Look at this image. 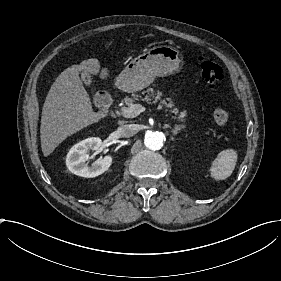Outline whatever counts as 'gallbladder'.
<instances>
[{
	"mask_svg": "<svg viewBox=\"0 0 281 281\" xmlns=\"http://www.w3.org/2000/svg\"><path fill=\"white\" fill-rule=\"evenodd\" d=\"M81 75H82V81L85 84H89L91 82V75L89 73L83 72Z\"/></svg>",
	"mask_w": 281,
	"mask_h": 281,
	"instance_id": "obj_1",
	"label": "gallbladder"
}]
</instances>
